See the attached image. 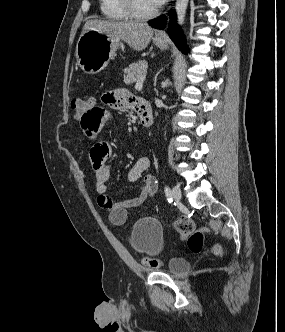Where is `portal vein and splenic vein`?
<instances>
[{
    "mask_svg": "<svg viewBox=\"0 0 285 332\" xmlns=\"http://www.w3.org/2000/svg\"><path fill=\"white\" fill-rule=\"evenodd\" d=\"M144 80H145V77H143L139 81H137V83L135 85L136 90H141L142 89Z\"/></svg>",
    "mask_w": 285,
    "mask_h": 332,
    "instance_id": "18ae733b",
    "label": "portal vein and splenic vein"
}]
</instances>
